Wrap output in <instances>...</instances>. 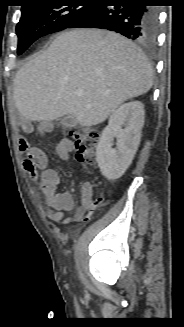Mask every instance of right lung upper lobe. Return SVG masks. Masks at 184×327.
I'll use <instances>...</instances> for the list:
<instances>
[{"label": "right lung upper lobe", "instance_id": "right-lung-upper-lobe-1", "mask_svg": "<svg viewBox=\"0 0 184 327\" xmlns=\"http://www.w3.org/2000/svg\"><path fill=\"white\" fill-rule=\"evenodd\" d=\"M44 0H23L24 3H26L25 5L22 6V9H24L25 7L38 3V2H42Z\"/></svg>", "mask_w": 184, "mask_h": 327}]
</instances>
